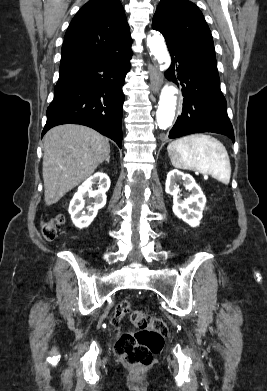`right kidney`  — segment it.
<instances>
[{"label":"right kidney","mask_w":267,"mask_h":391,"mask_svg":"<svg viewBox=\"0 0 267 391\" xmlns=\"http://www.w3.org/2000/svg\"><path fill=\"white\" fill-rule=\"evenodd\" d=\"M98 182V190L91 189L92 184ZM110 188V179L106 174L96 173L88 178L73 196L70 205L69 213L74 225L80 229L88 227L97 215L99 209L106 204V192ZM93 198L94 201L87 207L88 212L83 211L85 205V197Z\"/></svg>","instance_id":"1"}]
</instances>
